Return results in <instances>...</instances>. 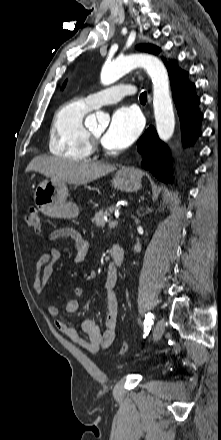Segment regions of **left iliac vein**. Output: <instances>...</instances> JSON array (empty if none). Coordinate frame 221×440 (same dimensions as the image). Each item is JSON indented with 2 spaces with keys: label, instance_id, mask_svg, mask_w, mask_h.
Masks as SVG:
<instances>
[{
  "label": "left iliac vein",
  "instance_id": "obj_1",
  "mask_svg": "<svg viewBox=\"0 0 221 440\" xmlns=\"http://www.w3.org/2000/svg\"><path fill=\"white\" fill-rule=\"evenodd\" d=\"M165 331V322L164 320L160 319L157 321L154 332H153V339L154 341H158L161 339L162 335Z\"/></svg>",
  "mask_w": 221,
  "mask_h": 440
}]
</instances>
